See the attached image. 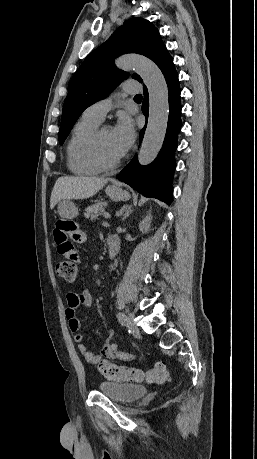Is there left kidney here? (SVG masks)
Wrapping results in <instances>:
<instances>
[{
  "label": "left kidney",
  "instance_id": "5707ae66",
  "mask_svg": "<svg viewBox=\"0 0 257 459\" xmlns=\"http://www.w3.org/2000/svg\"><path fill=\"white\" fill-rule=\"evenodd\" d=\"M151 220V216H147L146 218H144V220L139 224V229L141 232L147 233L150 230Z\"/></svg>",
  "mask_w": 257,
  "mask_h": 459
}]
</instances>
